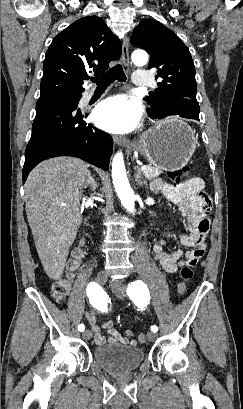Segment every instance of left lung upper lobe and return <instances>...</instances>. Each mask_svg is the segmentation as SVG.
Returning <instances> with one entry per match:
<instances>
[{"label": "left lung upper lobe", "mask_w": 243, "mask_h": 409, "mask_svg": "<svg viewBox=\"0 0 243 409\" xmlns=\"http://www.w3.org/2000/svg\"><path fill=\"white\" fill-rule=\"evenodd\" d=\"M131 44L150 54L148 69L156 68V79L162 78L158 88L145 97L152 107L150 115L164 117L179 107L187 108L185 113L200 111L191 54L173 31L156 20L145 19L135 28Z\"/></svg>", "instance_id": "1"}]
</instances>
